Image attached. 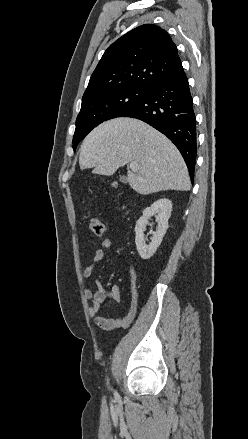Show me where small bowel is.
<instances>
[{
  "instance_id": "1",
  "label": "small bowel",
  "mask_w": 248,
  "mask_h": 439,
  "mask_svg": "<svg viewBox=\"0 0 248 439\" xmlns=\"http://www.w3.org/2000/svg\"><path fill=\"white\" fill-rule=\"evenodd\" d=\"M111 245L112 243L109 239L101 241L100 247L93 254L91 263L82 272L84 278H89L93 274L96 264L103 260L105 251L109 250ZM130 292L131 300L127 314L118 318H106L100 314V305L109 300L120 302L121 289L116 284L111 285L108 289L100 281H97L96 289L87 288L84 290V296L89 302V316L96 325L106 330L129 326L134 320L138 308L137 276L133 269L130 271Z\"/></svg>"
}]
</instances>
